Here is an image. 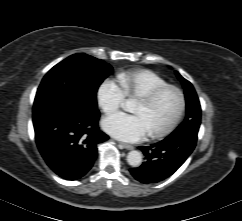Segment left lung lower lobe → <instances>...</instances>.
Segmentation results:
<instances>
[{
    "label": "left lung lower lobe",
    "instance_id": "0a47b994",
    "mask_svg": "<svg viewBox=\"0 0 242 221\" xmlns=\"http://www.w3.org/2000/svg\"><path fill=\"white\" fill-rule=\"evenodd\" d=\"M197 135H170L150 146L139 147L145 162L130 169L132 176L141 183H157L174 174L195 148Z\"/></svg>",
    "mask_w": 242,
    "mask_h": 221
}]
</instances>
